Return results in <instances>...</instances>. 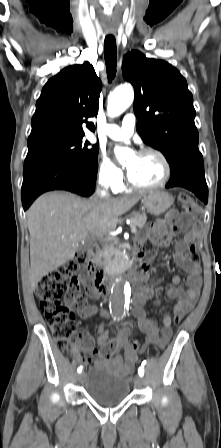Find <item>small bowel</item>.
<instances>
[{"mask_svg": "<svg viewBox=\"0 0 221 448\" xmlns=\"http://www.w3.org/2000/svg\"><path fill=\"white\" fill-rule=\"evenodd\" d=\"M181 218V214L171 210L163 220H156L151 227L150 241L158 247L168 246L172 234L180 228ZM194 235L195 231H192L175 243L174 262L187 274L188 287L187 289L181 288L182 277L180 275L173 276L172 286L167 289L166 294L169 298L176 300L174 317L170 312H165L162 317L163 327L161 330L156 322L147 316L145 311L146 303L149 300H153L156 306L160 304V301L154 298V289L146 285L144 281L141 286H137L132 300L133 314L138 320L139 329L147 335V346L154 345L160 349L165 348L172 337L173 320L175 317L180 320L184 318L198 298L202 286L201 269L198 264L190 262L185 255V251ZM149 273V267L147 265L142 266L143 280L149 276ZM86 295L96 297V293L91 287L86 288ZM66 304L83 319L92 317L99 312L98 306L86 302V296L80 293L79 286L73 288L67 295ZM132 331V326L124 327L115 338L110 339L107 332L100 327L99 348L90 347L88 352L91 355V361L105 363L120 375L130 374L139 359L140 353L146 348L137 346L136 343L129 340ZM120 350H123V356L118 354Z\"/></svg>", "mask_w": 221, "mask_h": 448, "instance_id": "small-bowel-1", "label": "small bowel"}]
</instances>
